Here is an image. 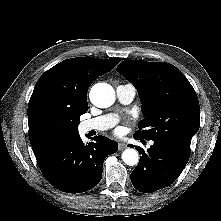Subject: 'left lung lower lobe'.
Wrapping results in <instances>:
<instances>
[{"mask_svg": "<svg viewBox=\"0 0 221 221\" xmlns=\"http://www.w3.org/2000/svg\"><path fill=\"white\" fill-rule=\"evenodd\" d=\"M153 141L154 144L146 152L137 146L141 157L131 173L133 186L144 193H151L171 185L183 171L190 155L168 142Z\"/></svg>", "mask_w": 221, "mask_h": 221, "instance_id": "left-lung-lower-lobe-1", "label": "left lung lower lobe"}]
</instances>
